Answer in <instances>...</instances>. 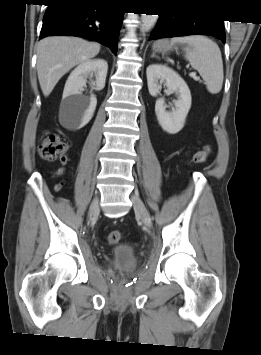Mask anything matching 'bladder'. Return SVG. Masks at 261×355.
Segmentation results:
<instances>
[{
    "label": "bladder",
    "mask_w": 261,
    "mask_h": 355,
    "mask_svg": "<svg viewBox=\"0 0 261 355\" xmlns=\"http://www.w3.org/2000/svg\"><path fill=\"white\" fill-rule=\"evenodd\" d=\"M111 268L115 272H131L137 263L134 248L129 244H120L112 252Z\"/></svg>",
    "instance_id": "31cf9c89"
}]
</instances>
